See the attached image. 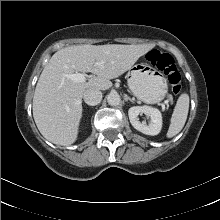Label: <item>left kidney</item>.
<instances>
[{
    "label": "left kidney",
    "instance_id": "1",
    "mask_svg": "<svg viewBox=\"0 0 220 220\" xmlns=\"http://www.w3.org/2000/svg\"><path fill=\"white\" fill-rule=\"evenodd\" d=\"M145 114L150 117L151 121L148 125L139 121L138 115ZM129 120L132 126L146 135H157L162 128L161 112L150 106H134L128 110Z\"/></svg>",
    "mask_w": 220,
    "mask_h": 220
}]
</instances>
